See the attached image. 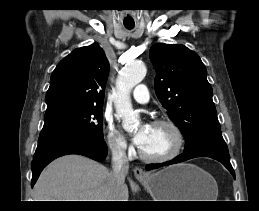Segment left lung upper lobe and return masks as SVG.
<instances>
[{
  "instance_id": "obj_1",
  "label": "left lung upper lobe",
  "mask_w": 259,
  "mask_h": 211,
  "mask_svg": "<svg viewBox=\"0 0 259 211\" xmlns=\"http://www.w3.org/2000/svg\"><path fill=\"white\" fill-rule=\"evenodd\" d=\"M149 56L157 97L186 139L184 152L205 145L226 148L200 57L184 45L164 43L153 45Z\"/></svg>"
}]
</instances>
